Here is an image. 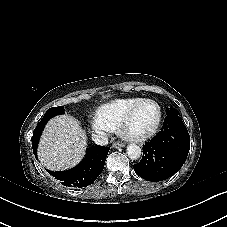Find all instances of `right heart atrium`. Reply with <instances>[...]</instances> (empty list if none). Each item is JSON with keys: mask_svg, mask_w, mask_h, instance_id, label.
Returning a JSON list of instances; mask_svg holds the SVG:
<instances>
[{"mask_svg": "<svg viewBox=\"0 0 227 227\" xmlns=\"http://www.w3.org/2000/svg\"><path fill=\"white\" fill-rule=\"evenodd\" d=\"M93 137H104L111 133V129L105 126L93 125L90 129Z\"/></svg>", "mask_w": 227, "mask_h": 227, "instance_id": "1", "label": "right heart atrium"}]
</instances>
